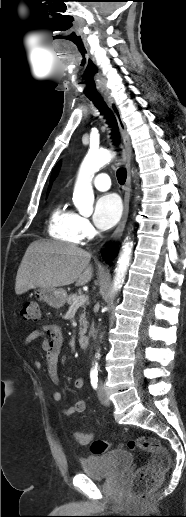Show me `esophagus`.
<instances>
[{"label":"esophagus","mask_w":186,"mask_h":517,"mask_svg":"<svg viewBox=\"0 0 186 517\" xmlns=\"http://www.w3.org/2000/svg\"><path fill=\"white\" fill-rule=\"evenodd\" d=\"M104 98L107 101L108 105L110 106L111 110L113 111V113L116 117L119 129H120V132H121V136H122V140H123V144H124L123 154H124V159L126 161V168H127V178H126V183H125V187H124L125 194H124V202H123V215H122V218H121L118 226L116 227L113 234L111 235V241L116 242L122 236V233L124 231V228H125V225L127 222L128 213H129V202H130V195H131L132 147H131V139H130L129 133L127 131L126 124L123 120V117L121 115V112H120L117 104L110 96H108L106 94H104Z\"/></svg>","instance_id":"obj_1"}]
</instances>
